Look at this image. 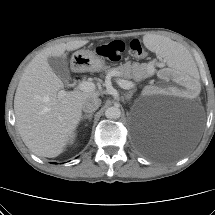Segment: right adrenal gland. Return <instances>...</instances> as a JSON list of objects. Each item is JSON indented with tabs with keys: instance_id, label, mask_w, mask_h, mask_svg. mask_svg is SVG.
<instances>
[{
	"instance_id": "2a0ac1e0",
	"label": "right adrenal gland",
	"mask_w": 215,
	"mask_h": 215,
	"mask_svg": "<svg viewBox=\"0 0 215 215\" xmlns=\"http://www.w3.org/2000/svg\"><path fill=\"white\" fill-rule=\"evenodd\" d=\"M92 116H93V113H91V114H85V115H83L81 117V121H83L84 119H89V121H91Z\"/></svg>"
}]
</instances>
